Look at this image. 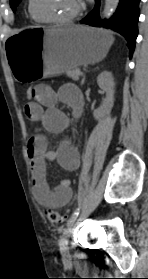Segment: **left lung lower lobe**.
I'll use <instances>...</instances> for the list:
<instances>
[{
	"label": "left lung lower lobe",
	"instance_id": "obj_1",
	"mask_svg": "<svg viewBox=\"0 0 148 279\" xmlns=\"http://www.w3.org/2000/svg\"><path fill=\"white\" fill-rule=\"evenodd\" d=\"M139 2L140 0H120L113 16L108 21H102L99 16L100 0H96L94 9L80 22L117 31L127 39L132 56L138 35Z\"/></svg>",
	"mask_w": 148,
	"mask_h": 279
}]
</instances>
